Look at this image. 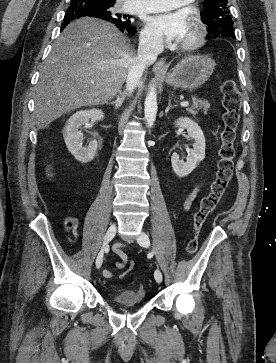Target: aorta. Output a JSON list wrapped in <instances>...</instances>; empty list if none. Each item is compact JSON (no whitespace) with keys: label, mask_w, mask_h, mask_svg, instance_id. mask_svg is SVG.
<instances>
[{"label":"aorta","mask_w":276,"mask_h":363,"mask_svg":"<svg viewBox=\"0 0 276 363\" xmlns=\"http://www.w3.org/2000/svg\"><path fill=\"white\" fill-rule=\"evenodd\" d=\"M157 109L156 88L152 86L146 96L144 103V117L148 128H151L154 125Z\"/></svg>","instance_id":"aorta-1"}]
</instances>
